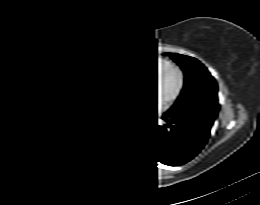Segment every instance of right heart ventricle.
Instances as JSON below:
<instances>
[{
	"label": "right heart ventricle",
	"mask_w": 260,
	"mask_h": 205,
	"mask_svg": "<svg viewBox=\"0 0 260 205\" xmlns=\"http://www.w3.org/2000/svg\"><path fill=\"white\" fill-rule=\"evenodd\" d=\"M172 66H175L172 61L159 57L138 66L133 74V77L138 82L144 83L153 74H159L160 72Z\"/></svg>",
	"instance_id": "obj_1"
}]
</instances>
